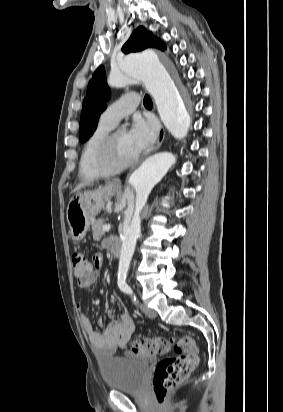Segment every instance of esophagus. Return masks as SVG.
Wrapping results in <instances>:
<instances>
[{"mask_svg": "<svg viewBox=\"0 0 283 412\" xmlns=\"http://www.w3.org/2000/svg\"><path fill=\"white\" fill-rule=\"evenodd\" d=\"M164 138H165V128L163 126H161L160 130H159V133H158V139H157V143H156V146L154 148V151H156L157 149L160 148ZM113 184H115V185L118 184V181L115 180L113 182Z\"/></svg>", "mask_w": 283, "mask_h": 412, "instance_id": "obj_1", "label": "esophagus"}]
</instances>
